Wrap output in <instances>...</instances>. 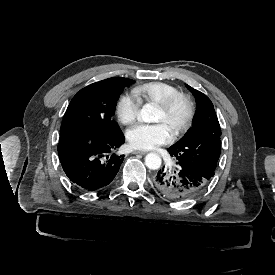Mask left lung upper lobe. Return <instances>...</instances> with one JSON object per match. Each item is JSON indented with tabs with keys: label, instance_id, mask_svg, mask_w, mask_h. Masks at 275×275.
I'll use <instances>...</instances> for the list:
<instances>
[{
	"label": "left lung upper lobe",
	"instance_id": "1",
	"mask_svg": "<svg viewBox=\"0 0 275 275\" xmlns=\"http://www.w3.org/2000/svg\"><path fill=\"white\" fill-rule=\"evenodd\" d=\"M196 98L197 111L193 127L177 143L169 147V153L179 164L211 179L221 150V129L211 100L202 92L186 85Z\"/></svg>",
	"mask_w": 275,
	"mask_h": 275
}]
</instances>
